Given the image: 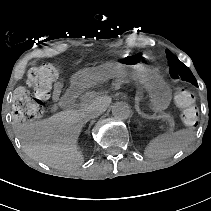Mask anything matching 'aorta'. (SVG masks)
<instances>
[{"label":"aorta","mask_w":211,"mask_h":211,"mask_svg":"<svg viewBox=\"0 0 211 211\" xmlns=\"http://www.w3.org/2000/svg\"><path fill=\"white\" fill-rule=\"evenodd\" d=\"M130 114V107L125 102H117L112 107V115L118 120H126Z\"/></svg>","instance_id":"aorta-1"}]
</instances>
